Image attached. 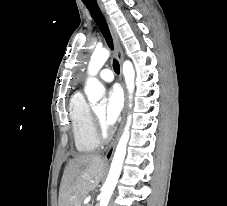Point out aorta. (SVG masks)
Instances as JSON below:
<instances>
[{"instance_id": "762f6f07", "label": "aorta", "mask_w": 227, "mask_h": 206, "mask_svg": "<svg viewBox=\"0 0 227 206\" xmlns=\"http://www.w3.org/2000/svg\"><path fill=\"white\" fill-rule=\"evenodd\" d=\"M110 56V52L106 49L95 50L91 56L88 65V79L85 85V94L91 103H96L99 100L104 99L105 89L100 81L95 77L100 69L103 67L105 62ZM122 72L124 75L126 87L129 94V108L132 107V98L134 92V80L135 71L133 65L130 61H125L123 63ZM132 121V116L129 114L127 116V121L124 127L123 134L116 147L111 167L107 179L103 185L102 192L100 194L99 206H108L110 198L113 194L117 181L119 179L123 162L126 155L127 143L130 137V125Z\"/></svg>"}]
</instances>
